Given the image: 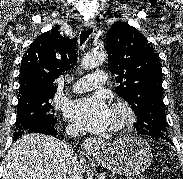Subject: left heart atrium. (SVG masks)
Listing matches in <instances>:
<instances>
[{
	"label": "left heart atrium",
	"instance_id": "39dd6f15",
	"mask_svg": "<svg viewBox=\"0 0 183 179\" xmlns=\"http://www.w3.org/2000/svg\"><path fill=\"white\" fill-rule=\"evenodd\" d=\"M68 114L75 122L90 132H103L110 125L111 108L101 95L74 101L69 106Z\"/></svg>",
	"mask_w": 183,
	"mask_h": 179
}]
</instances>
